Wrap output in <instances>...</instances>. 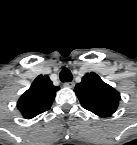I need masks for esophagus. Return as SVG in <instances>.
Returning <instances> with one entry per match:
<instances>
[{
    "instance_id": "34e87169",
    "label": "esophagus",
    "mask_w": 137,
    "mask_h": 145,
    "mask_svg": "<svg viewBox=\"0 0 137 145\" xmlns=\"http://www.w3.org/2000/svg\"><path fill=\"white\" fill-rule=\"evenodd\" d=\"M64 87H67V88H73L74 87V82H65L64 84Z\"/></svg>"
}]
</instances>
